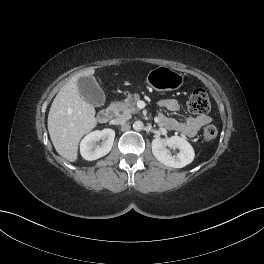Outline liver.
Here are the masks:
<instances>
[{
	"label": "liver",
	"mask_w": 264,
	"mask_h": 264,
	"mask_svg": "<svg viewBox=\"0 0 264 264\" xmlns=\"http://www.w3.org/2000/svg\"><path fill=\"white\" fill-rule=\"evenodd\" d=\"M93 68L73 76L54 98L48 114L51 141L63 158L75 162L80 139L96 125L95 108L85 101L78 88L81 77L92 76Z\"/></svg>",
	"instance_id": "obj_1"
}]
</instances>
